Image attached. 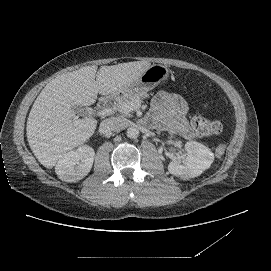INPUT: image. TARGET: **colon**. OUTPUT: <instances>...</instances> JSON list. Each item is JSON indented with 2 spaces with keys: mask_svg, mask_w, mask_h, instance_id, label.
<instances>
[{
  "mask_svg": "<svg viewBox=\"0 0 271 271\" xmlns=\"http://www.w3.org/2000/svg\"><path fill=\"white\" fill-rule=\"evenodd\" d=\"M193 128L198 136L206 137L215 135L221 132L222 125L220 122L209 119L203 115H195L192 119ZM226 152V145L219 144L215 153L217 156H223Z\"/></svg>",
  "mask_w": 271,
  "mask_h": 271,
  "instance_id": "colon-1",
  "label": "colon"
}]
</instances>
